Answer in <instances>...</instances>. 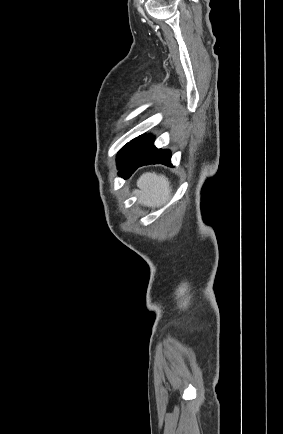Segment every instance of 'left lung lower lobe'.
<instances>
[{
    "label": "left lung lower lobe",
    "mask_w": 283,
    "mask_h": 434,
    "mask_svg": "<svg viewBox=\"0 0 283 434\" xmlns=\"http://www.w3.org/2000/svg\"><path fill=\"white\" fill-rule=\"evenodd\" d=\"M149 164L171 165V152L169 150L157 149L152 144L144 156L118 165V174L123 178H129L138 167Z\"/></svg>",
    "instance_id": "obj_1"
}]
</instances>
